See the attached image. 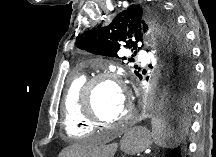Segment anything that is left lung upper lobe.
Returning <instances> with one entry per match:
<instances>
[{"mask_svg":"<svg viewBox=\"0 0 216 157\" xmlns=\"http://www.w3.org/2000/svg\"><path fill=\"white\" fill-rule=\"evenodd\" d=\"M146 37L158 49L168 77L171 74L181 87L195 81L194 65L185 36L175 20L160 6L132 4L120 12L108 26L88 33L77 47L97 55L118 57L117 52L124 46L130 48L135 55L137 49L141 48L138 43L143 42ZM131 60L130 58L129 61Z\"/></svg>","mask_w":216,"mask_h":157,"instance_id":"1","label":"left lung upper lobe"}]
</instances>
